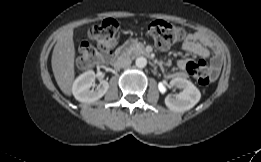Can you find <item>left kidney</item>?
<instances>
[{"label":"left kidney","instance_id":"1","mask_svg":"<svg viewBox=\"0 0 261 162\" xmlns=\"http://www.w3.org/2000/svg\"><path fill=\"white\" fill-rule=\"evenodd\" d=\"M170 85L182 90L174 96H166L165 105L171 111L185 112L193 108L199 102L201 93L191 81L182 77H176L171 80Z\"/></svg>","mask_w":261,"mask_h":162}]
</instances>
